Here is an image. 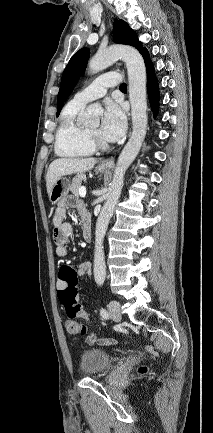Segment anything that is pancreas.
Wrapping results in <instances>:
<instances>
[{"instance_id": "1", "label": "pancreas", "mask_w": 213, "mask_h": 433, "mask_svg": "<svg viewBox=\"0 0 213 433\" xmlns=\"http://www.w3.org/2000/svg\"><path fill=\"white\" fill-rule=\"evenodd\" d=\"M83 177L78 175L72 179V185L70 187L71 192L75 195H79V188L81 187Z\"/></svg>"}]
</instances>
